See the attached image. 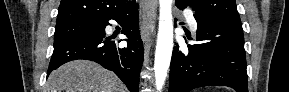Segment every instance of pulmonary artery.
Masks as SVG:
<instances>
[{"instance_id":"obj_1","label":"pulmonary artery","mask_w":289,"mask_h":92,"mask_svg":"<svg viewBox=\"0 0 289 92\" xmlns=\"http://www.w3.org/2000/svg\"><path fill=\"white\" fill-rule=\"evenodd\" d=\"M186 17L188 24L190 25L191 29L196 30L197 29V22L193 16V14L189 11L186 12Z\"/></svg>"}]
</instances>
